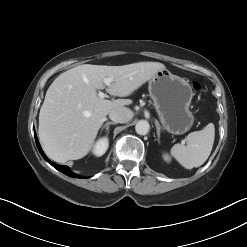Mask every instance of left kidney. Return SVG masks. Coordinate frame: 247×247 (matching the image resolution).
<instances>
[{
  "mask_svg": "<svg viewBox=\"0 0 247 247\" xmlns=\"http://www.w3.org/2000/svg\"><path fill=\"white\" fill-rule=\"evenodd\" d=\"M163 157H164V160H165V161L170 162V157H169V155L165 154Z\"/></svg>",
  "mask_w": 247,
  "mask_h": 247,
  "instance_id": "left-kidney-1",
  "label": "left kidney"
}]
</instances>
